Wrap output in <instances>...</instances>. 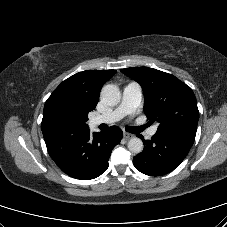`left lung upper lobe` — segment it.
<instances>
[{"label": "left lung upper lobe", "instance_id": "1", "mask_svg": "<svg viewBox=\"0 0 227 227\" xmlns=\"http://www.w3.org/2000/svg\"><path fill=\"white\" fill-rule=\"evenodd\" d=\"M144 91V111L159 123V131L179 132L195 137L199 111L192 89L175 76L148 67L122 69Z\"/></svg>", "mask_w": 227, "mask_h": 227}]
</instances>
